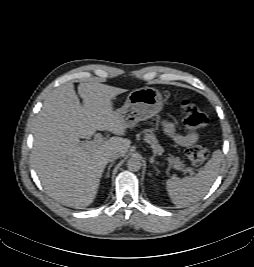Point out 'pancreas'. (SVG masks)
I'll return each mask as SVG.
<instances>
[{
  "label": "pancreas",
  "instance_id": "obj_1",
  "mask_svg": "<svg viewBox=\"0 0 254 267\" xmlns=\"http://www.w3.org/2000/svg\"><path fill=\"white\" fill-rule=\"evenodd\" d=\"M145 141L150 143L151 147L154 149V151L156 153H160V152L163 151V148L160 146V144L158 143V140L156 139V137H155V135L153 133L146 134ZM175 163L177 165H179V167L182 169V167H183L182 162L175 161Z\"/></svg>",
  "mask_w": 254,
  "mask_h": 267
}]
</instances>
